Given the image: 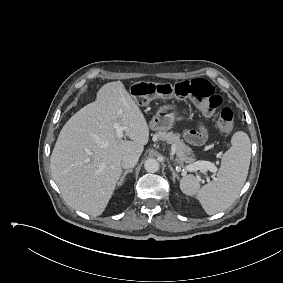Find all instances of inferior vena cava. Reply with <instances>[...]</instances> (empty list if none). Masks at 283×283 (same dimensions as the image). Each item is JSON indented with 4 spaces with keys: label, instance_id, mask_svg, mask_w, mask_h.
<instances>
[{
    "label": "inferior vena cava",
    "instance_id": "602c4592",
    "mask_svg": "<svg viewBox=\"0 0 283 283\" xmlns=\"http://www.w3.org/2000/svg\"><path fill=\"white\" fill-rule=\"evenodd\" d=\"M139 160L137 154H128L122 158L121 164L124 169L133 168Z\"/></svg>",
    "mask_w": 283,
    "mask_h": 283
}]
</instances>
